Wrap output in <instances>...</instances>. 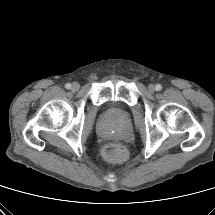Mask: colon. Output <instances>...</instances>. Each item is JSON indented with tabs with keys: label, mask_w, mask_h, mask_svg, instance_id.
Segmentation results:
<instances>
[{
	"label": "colon",
	"mask_w": 215,
	"mask_h": 215,
	"mask_svg": "<svg viewBox=\"0 0 215 215\" xmlns=\"http://www.w3.org/2000/svg\"><path fill=\"white\" fill-rule=\"evenodd\" d=\"M104 156L114 162H122L127 158L126 148L118 143H110L103 149Z\"/></svg>",
	"instance_id": "5ec220e1"
}]
</instances>
